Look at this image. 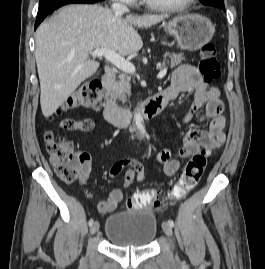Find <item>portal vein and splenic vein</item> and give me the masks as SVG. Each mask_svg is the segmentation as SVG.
<instances>
[{
  "label": "portal vein and splenic vein",
  "instance_id": "18ae733b",
  "mask_svg": "<svg viewBox=\"0 0 265 269\" xmlns=\"http://www.w3.org/2000/svg\"><path fill=\"white\" fill-rule=\"evenodd\" d=\"M92 57H104L106 60L111 62L113 65H115L118 69L126 72V73H134L135 72V66L125 60L124 57L120 56L116 52L106 49V48H100L96 49L91 53ZM167 73V68H163L160 70V72L157 75L158 79H162Z\"/></svg>",
  "mask_w": 265,
  "mask_h": 269
}]
</instances>
